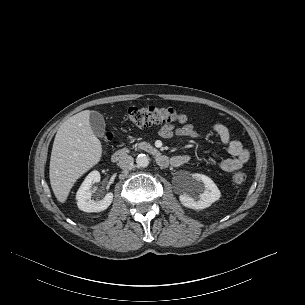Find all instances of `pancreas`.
<instances>
[{"label": "pancreas", "instance_id": "obj_1", "mask_svg": "<svg viewBox=\"0 0 305 305\" xmlns=\"http://www.w3.org/2000/svg\"><path fill=\"white\" fill-rule=\"evenodd\" d=\"M133 148L142 150H152L153 147L147 142H140L133 145Z\"/></svg>", "mask_w": 305, "mask_h": 305}]
</instances>
